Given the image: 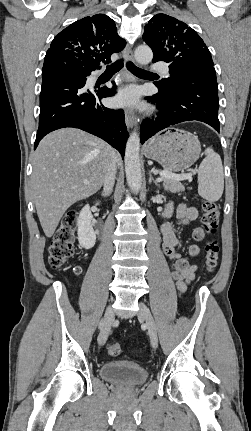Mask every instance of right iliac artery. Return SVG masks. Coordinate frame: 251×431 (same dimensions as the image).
<instances>
[{
    "label": "right iliac artery",
    "mask_w": 251,
    "mask_h": 431,
    "mask_svg": "<svg viewBox=\"0 0 251 431\" xmlns=\"http://www.w3.org/2000/svg\"><path fill=\"white\" fill-rule=\"evenodd\" d=\"M102 326H103V321H101V323H100L99 327L101 328Z\"/></svg>",
    "instance_id": "right-iliac-artery-1"
}]
</instances>
